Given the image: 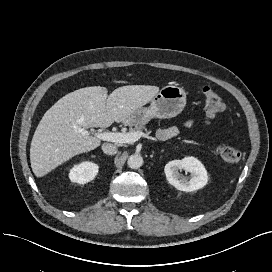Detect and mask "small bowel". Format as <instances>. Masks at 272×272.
<instances>
[{"instance_id": "1", "label": "small bowel", "mask_w": 272, "mask_h": 272, "mask_svg": "<svg viewBox=\"0 0 272 272\" xmlns=\"http://www.w3.org/2000/svg\"><path fill=\"white\" fill-rule=\"evenodd\" d=\"M186 128L191 129L194 126V121L189 120L185 124ZM179 130L176 126H170L166 128H161L157 131V137L160 140H168L175 137L178 134Z\"/></svg>"}]
</instances>
